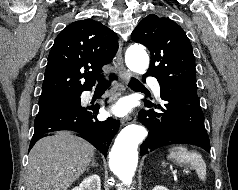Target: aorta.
Returning a JSON list of instances; mask_svg holds the SVG:
<instances>
[{
  "mask_svg": "<svg viewBox=\"0 0 238 190\" xmlns=\"http://www.w3.org/2000/svg\"><path fill=\"white\" fill-rule=\"evenodd\" d=\"M128 68L138 74H144L149 66V57L140 44L130 46L125 55ZM147 136L140 125L126 126L115 139L109 154L111 171L125 184H130L138 162V145Z\"/></svg>",
  "mask_w": 238,
  "mask_h": 190,
  "instance_id": "1",
  "label": "aorta"
}]
</instances>
